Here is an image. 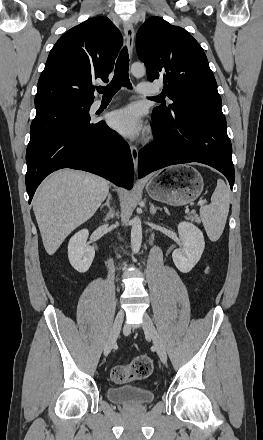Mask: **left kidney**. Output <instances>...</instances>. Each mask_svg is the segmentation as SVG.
Masks as SVG:
<instances>
[{
  "label": "left kidney",
  "instance_id": "1",
  "mask_svg": "<svg viewBox=\"0 0 263 440\" xmlns=\"http://www.w3.org/2000/svg\"><path fill=\"white\" fill-rule=\"evenodd\" d=\"M177 228L183 247L175 249L172 258L180 272L188 273L202 256L205 248L204 236L197 226L189 222H181Z\"/></svg>",
  "mask_w": 263,
  "mask_h": 440
}]
</instances>
